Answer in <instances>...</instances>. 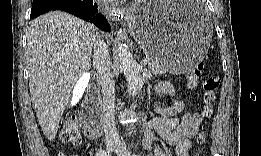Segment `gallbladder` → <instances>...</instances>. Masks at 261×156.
<instances>
[{
	"mask_svg": "<svg viewBox=\"0 0 261 156\" xmlns=\"http://www.w3.org/2000/svg\"><path fill=\"white\" fill-rule=\"evenodd\" d=\"M90 73H85L83 76L80 77L79 80H77V82L75 83L74 87H73V92H72V96L71 100L68 104H70L69 106H75L76 104H78L77 102L80 101V98H82V95H84L83 92H85V90L87 89V85L90 82V77L91 75H89ZM70 108H76V107H68Z\"/></svg>",
	"mask_w": 261,
	"mask_h": 156,
	"instance_id": "1",
	"label": "gallbladder"
}]
</instances>
